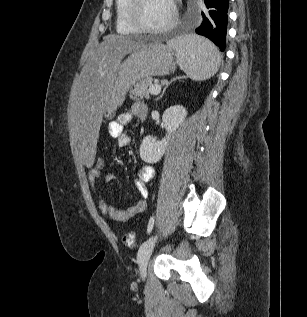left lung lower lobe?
I'll return each mask as SVG.
<instances>
[{"label": "left lung lower lobe", "instance_id": "left-lung-lower-lobe-1", "mask_svg": "<svg viewBox=\"0 0 307 317\" xmlns=\"http://www.w3.org/2000/svg\"><path fill=\"white\" fill-rule=\"evenodd\" d=\"M229 0H204L202 17L194 31L209 38L224 51L228 21Z\"/></svg>", "mask_w": 307, "mask_h": 317}]
</instances>
